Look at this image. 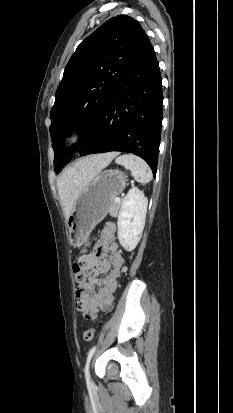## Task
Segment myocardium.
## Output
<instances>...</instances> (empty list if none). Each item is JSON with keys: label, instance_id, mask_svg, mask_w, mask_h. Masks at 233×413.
I'll return each mask as SVG.
<instances>
[{"label": "myocardium", "instance_id": "f54148a6", "mask_svg": "<svg viewBox=\"0 0 233 413\" xmlns=\"http://www.w3.org/2000/svg\"><path fill=\"white\" fill-rule=\"evenodd\" d=\"M85 126L83 124H77L70 128L63 137V146L65 148H73L81 142L85 134Z\"/></svg>", "mask_w": 233, "mask_h": 413}]
</instances>
